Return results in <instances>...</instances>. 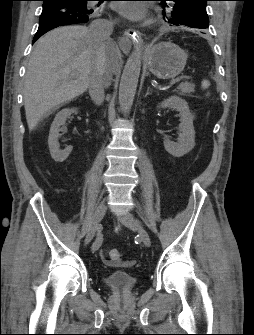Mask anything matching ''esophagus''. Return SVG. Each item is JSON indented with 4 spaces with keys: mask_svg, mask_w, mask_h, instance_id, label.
Here are the masks:
<instances>
[{
    "mask_svg": "<svg viewBox=\"0 0 254 335\" xmlns=\"http://www.w3.org/2000/svg\"><path fill=\"white\" fill-rule=\"evenodd\" d=\"M141 34L138 30L128 28L119 39V46L122 50H129L132 42L140 40Z\"/></svg>",
    "mask_w": 254,
    "mask_h": 335,
    "instance_id": "obj_1",
    "label": "esophagus"
}]
</instances>
